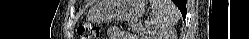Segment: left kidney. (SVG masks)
<instances>
[{
  "label": "left kidney",
  "instance_id": "5707ae66",
  "mask_svg": "<svg viewBox=\"0 0 249 39\" xmlns=\"http://www.w3.org/2000/svg\"><path fill=\"white\" fill-rule=\"evenodd\" d=\"M150 39H172V36L168 33H163L161 35L152 34Z\"/></svg>",
  "mask_w": 249,
  "mask_h": 39
}]
</instances>
